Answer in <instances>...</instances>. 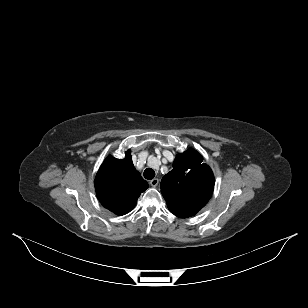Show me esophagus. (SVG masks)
<instances>
[{
  "label": "esophagus",
  "instance_id": "obj_1",
  "mask_svg": "<svg viewBox=\"0 0 308 308\" xmlns=\"http://www.w3.org/2000/svg\"><path fill=\"white\" fill-rule=\"evenodd\" d=\"M158 184H159V179H157V178H154V179H152V180L150 181V185H151L152 187H156Z\"/></svg>",
  "mask_w": 308,
  "mask_h": 308
}]
</instances>
